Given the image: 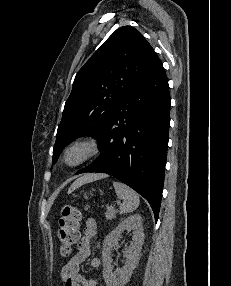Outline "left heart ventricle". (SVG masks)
Segmentation results:
<instances>
[{"label":"left heart ventricle","mask_w":231,"mask_h":286,"mask_svg":"<svg viewBox=\"0 0 231 286\" xmlns=\"http://www.w3.org/2000/svg\"><path fill=\"white\" fill-rule=\"evenodd\" d=\"M80 155V152H75L71 155L70 160L75 161Z\"/></svg>","instance_id":"left-heart-ventricle-1"}]
</instances>
